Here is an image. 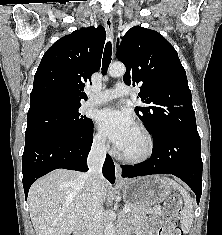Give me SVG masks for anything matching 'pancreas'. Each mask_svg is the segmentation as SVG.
<instances>
[{
	"label": "pancreas",
	"instance_id": "obj_1",
	"mask_svg": "<svg viewBox=\"0 0 222 235\" xmlns=\"http://www.w3.org/2000/svg\"><path fill=\"white\" fill-rule=\"evenodd\" d=\"M129 207V206H128ZM130 211L127 213L128 220L132 223H136L139 220H142L146 214H154L157 216H161V208L159 206H155L154 208H148L146 210H137L132 207H129Z\"/></svg>",
	"mask_w": 222,
	"mask_h": 235
}]
</instances>
